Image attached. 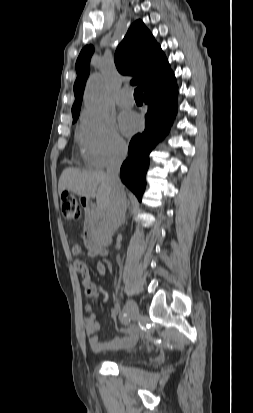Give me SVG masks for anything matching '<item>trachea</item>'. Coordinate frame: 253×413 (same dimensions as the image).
I'll list each match as a JSON object with an SVG mask.
<instances>
[{
	"mask_svg": "<svg viewBox=\"0 0 253 413\" xmlns=\"http://www.w3.org/2000/svg\"><path fill=\"white\" fill-rule=\"evenodd\" d=\"M134 97H135L136 99H143V90H142V87H138V88L135 89V91H134Z\"/></svg>",
	"mask_w": 253,
	"mask_h": 413,
	"instance_id": "trachea-1",
	"label": "trachea"
}]
</instances>
